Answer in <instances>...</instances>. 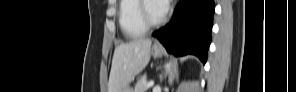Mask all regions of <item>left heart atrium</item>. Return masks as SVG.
Returning a JSON list of instances; mask_svg holds the SVG:
<instances>
[{"label": "left heart atrium", "instance_id": "39dd6f15", "mask_svg": "<svg viewBox=\"0 0 296 92\" xmlns=\"http://www.w3.org/2000/svg\"><path fill=\"white\" fill-rule=\"evenodd\" d=\"M155 8L158 14L163 17L169 9V2L168 1H156Z\"/></svg>", "mask_w": 296, "mask_h": 92}]
</instances>
